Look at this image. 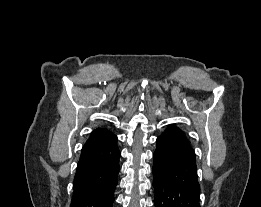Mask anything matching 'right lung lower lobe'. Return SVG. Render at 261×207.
<instances>
[{
	"label": "right lung lower lobe",
	"mask_w": 261,
	"mask_h": 207,
	"mask_svg": "<svg viewBox=\"0 0 261 207\" xmlns=\"http://www.w3.org/2000/svg\"><path fill=\"white\" fill-rule=\"evenodd\" d=\"M116 136L82 148L71 207H112L120 170Z\"/></svg>",
	"instance_id": "98d812e1"
}]
</instances>
